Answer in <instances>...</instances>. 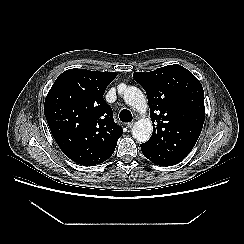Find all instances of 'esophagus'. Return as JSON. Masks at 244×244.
<instances>
[{
  "label": "esophagus",
  "instance_id": "obj_1",
  "mask_svg": "<svg viewBox=\"0 0 244 244\" xmlns=\"http://www.w3.org/2000/svg\"><path fill=\"white\" fill-rule=\"evenodd\" d=\"M133 125H134V121L128 122V123L126 124V126H127L128 128H131Z\"/></svg>",
  "mask_w": 244,
  "mask_h": 244
}]
</instances>
